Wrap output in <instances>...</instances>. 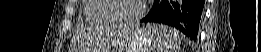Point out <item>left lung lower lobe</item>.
Instances as JSON below:
<instances>
[{
	"label": "left lung lower lobe",
	"instance_id": "left-lung-lower-lobe-1",
	"mask_svg": "<svg viewBox=\"0 0 261 52\" xmlns=\"http://www.w3.org/2000/svg\"><path fill=\"white\" fill-rule=\"evenodd\" d=\"M205 0H155L141 22H157L175 27L191 40L198 37Z\"/></svg>",
	"mask_w": 261,
	"mask_h": 52
}]
</instances>
